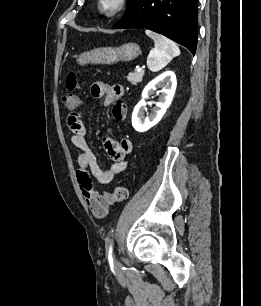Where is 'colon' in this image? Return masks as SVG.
Masks as SVG:
<instances>
[{
    "label": "colon",
    "mask_w": 261,
    "mask_h": 306,
    "mask_svg": "<svg viewBox=\"0 0 261 306\" xmlns=\"http://www.w3.org/2000/svg\"><path fill=\"white\" fill-rule=\"evenodd\" d=\"M67 93L63 95L62 101L66 109L73 111L79 105V97L76 91L80 88L79 77L76 73H69L66 78ZM112 197L115 202H123L128 197V190L119 186L114 189Z\"/></svg>",
    "instance_id": "colon-1"
}]
</instances>
